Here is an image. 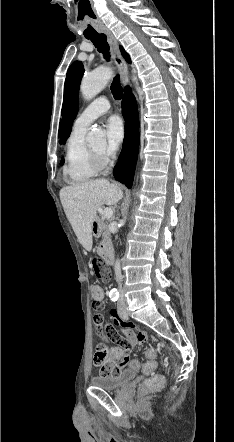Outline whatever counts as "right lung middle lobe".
<instances>
[{
    "mask_svg": "<svg viewBox=\"0 0 234 442\" xmlns=\"http://www.w3.org/2000/svg\"><path fill=\"white\" fill-rule=\"evenodd\" d=\"M63 163H64V161L62 160V161H61V165H62Z\"/></svg>",
    "mask_w": 234,
    "mask_h": 442,
    "instance_id": "dd1d6c3e",
    "label": "right lung middle lobe"
}]
</instances>
